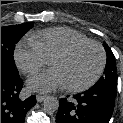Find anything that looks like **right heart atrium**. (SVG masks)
<instances>
[{"mask_svg":"<svg viewBox=\"0 0 123 123\" xmlns=\"http://www.w3.org/2000/svg\"><path fill=\"white\" fill-rule=\"evenodd\" d=\"M14 59L18 69L26 76L36 73L47 63L45 56L30 40L17 44Z\"/></svg>","mask_w":123,"mask_h":123,"instance_id":"right-heart-atrium-1","label":"right heart atrium"}]
</instances>
